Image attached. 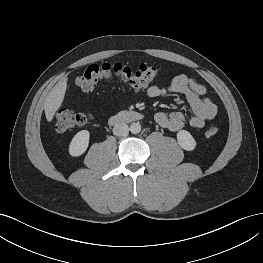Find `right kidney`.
<instances>
[{"label": "right kidney", "instance_id": "right-kidney-1", "mask_svg": "<svg viewBox=\"0 0 263 263\" xmlns=\"http://www.w3.org/2000/svg\"><path fill=\"white\" fill-rule=\"evenodd\" d=\"M90 133L87 130H81L72 138L69 145L71 156L77 157L82 155L88 148Z\"/></svg>", "mask_w": 263, "mask_h": 263}]
</instances>
